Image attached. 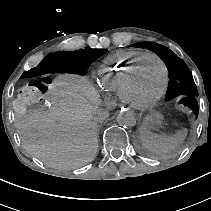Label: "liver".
I'll list each match as a JSON object with an SVG mask.
<instances>
[{"mask_svg":"<svg viewBox=\"0 0 211 211\" xmlns=\"http://www.w3.org/2000/svg\"><path fill=\"white\" fill-rule=\"evenodd\" d=\"M49 112L18 117L17 133L26 150L47 165L79 168L96 155L99 100L84 78L64 75L51 83Z\"/></svg>","mask_w":211,"mask_h":211,"instance_id":"6515ba94","label":"liver"}]
</instances>
